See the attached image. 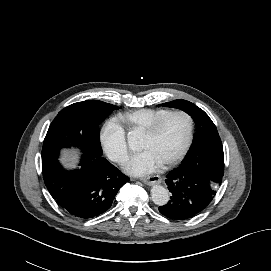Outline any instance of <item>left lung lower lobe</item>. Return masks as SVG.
I'll use <instances>...</instances> for the list:
<instances>
[{
  "label": "left lung lower lobe",
  "instance_id": "0a47b994",
  "mask_svg": "<svg viewBox=\"0 0 271 271\" xmlns=\"http://www.w3.org/2000/svg\"><path fill=\"white\" fill-rule=\"evenodd\" d=\"M172 193L159 211L167 218L187 220L202 212L215 197L222 177L196 170L177 168L165 180Z\"/></svg>",
  "mask_w": 271,
  "mask_h": 271
}]
</instances>
